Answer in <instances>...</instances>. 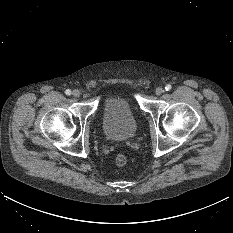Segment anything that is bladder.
<instances>
[{"label":"bladder","instance_id":"obj_1","mask_svg":"<svg viewBox=\"0 0 233 233\" xmlns=\"http://www.w3.org/2000/svg\"><path fill=\"white\" fill-rule=\"evenodd\" d=\"M102 130L114 141H126L135 135L137 121L125 95H112L105 100Z\"/></svg>","mask_w":233,"mask_h":233}]
</instances>
